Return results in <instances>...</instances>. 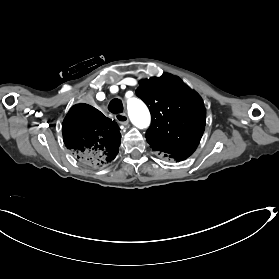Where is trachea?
Returning a JSON list of instances; mask_svg holds the SVG:
<instances>
[{"label":"trachea","mask_w":279,"mask_h":279,"mask_svg":"<svg viewBox=\"0 0 279 279\" xmlns=\"http://www.w3.org/2000/svg\"><path fill=\"white\" fill-rule=\"evenodd\" d=\"M108 110L113 114L123 112L122 101L120 99H116V98L111 100V102L108 105Z\"/></svg>","instance_id":"1"}]
</instances>
